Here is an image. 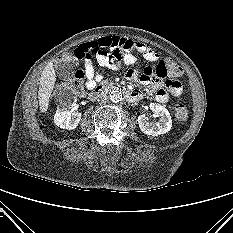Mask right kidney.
Returning a JSON list of instances; mask_svg holds the SVG:
<instances>
[{"mask_svg":"<svg viewBox=\"0 0 233 233\" xmlns=\"http://www.w3.org/2000/svg\"><path fill=\"white\" fill-rule=\"evenodd\" d=\"M76 101L77 99L74 97L73 102L68 106L62 105L61 107H58L54 115V123L56 126L67 130L74 129L78 126L82 114L79 112L71 113L69 110L70 106L73 105Z\"/></svg>","mask_w":233,"mask_h":233,"instance_id":"right-kidney-1","label":"right kidney"}]
</instances>
